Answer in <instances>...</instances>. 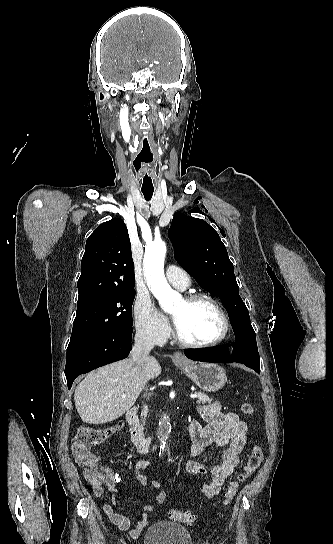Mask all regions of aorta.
I'll return each instance as SVG.
<instances>
[{
	"label": "aorta",
	"mask_w": 333,
	"mask_h": 544,
	"mask_svg": "<svg viewBox=\"0 0 333 544\" xmlns=\"http://www.w3.org/2000/svg\"><path fill=\"white\" fill-rule=\"evenodd\" d=\"M166 255L164 242H155L148 246L144 254V267L147 284L152 294L157 298L161 308L169 312L174 304L180 301L181 296L168 284L163 270V263ZM169 432L168 426L163 425L162 438L166 440Z\"/></svg>",
	"instance_id": "obj_1"
}]
</instances>
